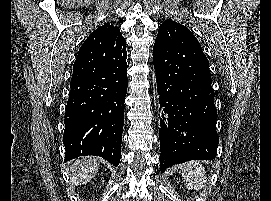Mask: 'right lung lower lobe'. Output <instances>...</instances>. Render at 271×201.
<instances>
[{
  "instance_id": "right-lung-lower-lobe-1",
  "label": "right lung lower lobe",
  "mask_w": 271,
  "mask_h": 201,
  "mask_svg": "<svg viewBox=\"0 0 271 201\" xmlns=\"http://www.w3.org/2000/svg\"><path fill=\"white\" fill-rule=\"evenodd\" d=\"M126 58L125 39L89 36L80 47L65 112V162L95 155L118 166L128 85Z\"/></svg>"
}]
</instances>
